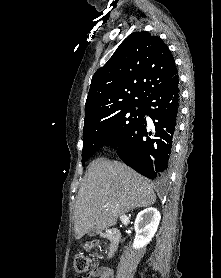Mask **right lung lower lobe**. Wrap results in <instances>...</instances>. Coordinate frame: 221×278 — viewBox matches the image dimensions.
Masks as SVG:
<instances>
[{
  "label": "right lung lower lobe",
  "instance_id": "obj_1",
  "mask_svg": "<svg viewBox=\"0 0 221 278\" xmlns=\"http://www.w3.org/2000/svg\"><path fill=\"white\" fill-rule=\"evenodd\" d=\"M180 106L178 74L155 88L143 102L144 116L119 143V157L149 179L162 180L169 170ZM145 115L153 120V132L147 130ZM108 145V146H109Z\"/></svg>",
  "mask_w": 221,
  "mask_h": 278
}]
</instances>
